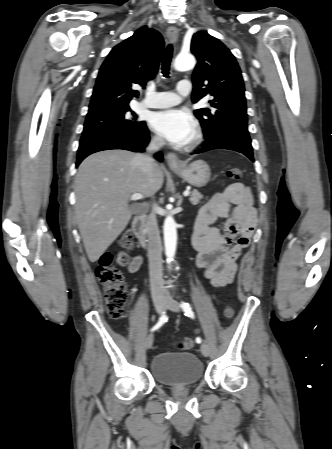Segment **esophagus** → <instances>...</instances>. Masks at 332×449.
Segmentation results:
<instances>
[{
	"mask_svg": "<svg viewBox=\"0 0 332 449\" xmlns=\"http://www.w3.org/2000/svg\"><path fill=\"white\" fill-rule=\"evenodd\" d=\"M167 37L171 43H176L178 40V29L175 26H169L167 29ZM167 164L171 168L182 167V162L179 160L175 153H168L166 156Z\"/></svg>",
	"mask_w": 332,
	"mask_h": 449,
	"instance_id": "1",
	"label": "esophagus"
}]
</instances>
